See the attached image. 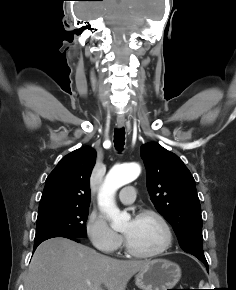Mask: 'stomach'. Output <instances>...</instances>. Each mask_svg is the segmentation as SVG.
Masks as SVG:
<instances>
[{
  "label": "stomach",
  "mask_w": 236,
  "mask_h": 290,
  "mask_svg": "<svg viewBox=\"0 0 236 290\" xmlns=\"http://www.w3.org/2000/svg\"><path fill=\"white\" fill-rule=\"evenodd\" d=\"M181 278L179 265L165 259H155L135 276V284L141 290L173 289Z\"/></svg>",
  "instance_id": "stomach-1"
}]
</instances>
